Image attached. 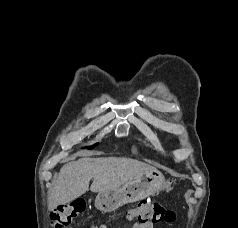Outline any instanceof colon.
<instances>
[{"instance_id": "1", "label": "colon", "mask_w": 238, "mask_h": 228, "mask_svg": "<svg viewBox=\"0 0 238 228\" xmlns=\"http://www.w3.org/2000/svg\"><path fill=\"white\" fill-rule=\"evenodd\" d=\"M85 203L82 200L63 204L55 208L50 215V228H69L72 222L84 212ZM141 224H169L175 220V214L158 202L141 201L129 212ZM97 228V227H92Z\"/></svg>"}]
</instances>
